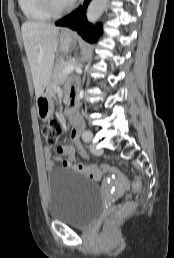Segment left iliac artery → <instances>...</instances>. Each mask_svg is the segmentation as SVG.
Returning a JSON list of instances; mask_svg holds the SVG:
<instances>
[{
	"instance_id": "1",
	"label": "left iliac artery",
	"mask_w": 174,
	"mask_h": 258,
	"mask_svg": "<svg viewBox=\"0 0 174 258\" xmlns=\"http://www.w3.org/2000/svg\"><path fill=\"white\" fill-rule=\"evenodd\" d=\"M92 137H93L92 133L89 130L84 131L83 134H82V139L85 142H90L92 140Z\"/></svg>"
}]
</instances>
